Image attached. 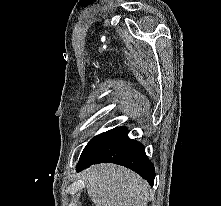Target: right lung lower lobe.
<instances>
[{"instance_id": "obj_1", "label": "right lung lower lobe", "mask_w": 221, "mask_h": 206, "mask_svg": "<svg viewBox=\"0 0 221 206\" xmlns=\"http://www.w3.org/2000/svg\"><path fill=\"white\" fill-rule=\"evenodd\" d=\"M125 127H117L103 133L81 155L76 166L77 171L97 163H115L123 165L154 184L155 169L145 154L144 146L130 139Z\"/></svg>"}]
</instances>
